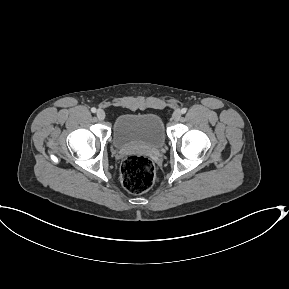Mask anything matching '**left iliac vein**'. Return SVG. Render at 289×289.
<instances>
[{"label":"left iliac vein","mask_w":289,"mask_h":289,"mask_svg":"<svg viewBox=\"0 0 289 289\" xmlns=\"http://www.w3.org/2000/svg\"><path fill=\"white\" fill-rule=\"evenodd\" d=\"M181 118V111L180 110H175L172 114V119L174 121H178Z\"/></svg>","instance_id":"4c4485c4"}]
</instances>
